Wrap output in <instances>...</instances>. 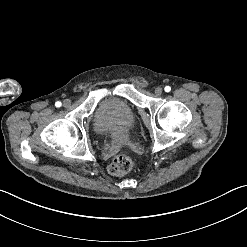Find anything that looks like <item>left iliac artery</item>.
<instances>
[{
	"instance_id": "obj_1",
	"label": "left iliac artery",
	"mask_w": 247,
	"mask_h": 247,
	"mask_svg": "<svg viewBox=\"0 0 247 247\" xmlns=\"http://www.w3.org/2000/svg\"><path fill=\"white\" fill-rule=\"evenodd\" d=\"M164 90H165V92H170L171 87H170V86H166V87L164 88Z\"/></svg>"
}]
</instances>
